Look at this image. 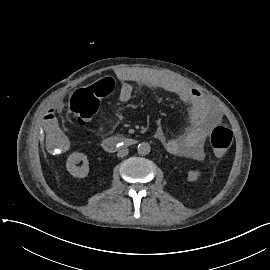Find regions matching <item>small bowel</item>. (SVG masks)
Returning <instances> with one entry per match:
<instances>
[{"mask_svg": "<svg viewBox=\"0 0 270 270\" xmlns=\"http://www.w3.org/2000/svg\"><path fill=\"white\" fill-rule=\"evenodd\" d=\"M118 77L122 81L119 91V99L122 102L129 101L133 94V88L127 82H139L166 90L186 101L192 110L190 131L182 136L168 138L164 130L159 127L155 132V137L172 154L189 156L197 161L204 159V141L210 130L221 121V114L210 100L197 89L189 88L157 70L133 68L121 71ZM59 113L60 100L56 96H51L47 100L45 118L48 121L45 123V128L48 133L46 143L53 153H58L62 146L71 149L75 145V139L71 135L60 131L55 121ZM106 131L107 128L104 125L96 128V133L99 135L105 134Z\"/></svg>", "mask_w": 270, "mask_h": 270, "instance_id": "c3829d8e", "label": "small bowel"}]
</instances>
